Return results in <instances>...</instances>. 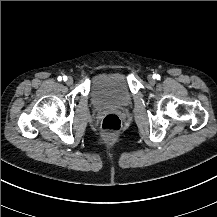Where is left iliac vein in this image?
<instances>
[{"instance_id": "1", "label": "left iliac vein", "mask_w": 217, "mask_h": 217, "mask_svg": "<svg viewBox=\"0 0 217 217\" xmlns=\"http://www.w3.org/2000/svg\"><path fill=\"white\" fill-rule=\"evenodd\" d=\"M148 81L151 85H154L155 84V78L153 76H149L148 77Z\"/></svg>"}]
</instances>
